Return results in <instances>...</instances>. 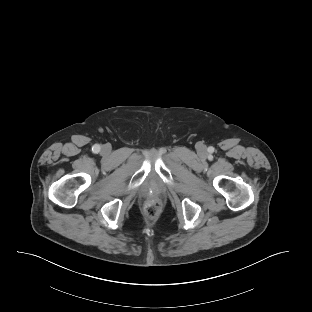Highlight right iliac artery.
<instances>
[{"instance_id": "right-iliac-artery-1", "label": "right iliac artery", "mask_w": 312, "mask_h": 312, "mask_svg": "<svg viewBox=\"0 0 312 312\" xmlns=\"http://www.w3.org/2000/svg\"><path fill=\"white\" fill-rule=\"evenodd\" d=\"M92 151L94 153H98L100 151V145L98 144H95L93 147H92Z\"/></svg>"}]
</instances>
